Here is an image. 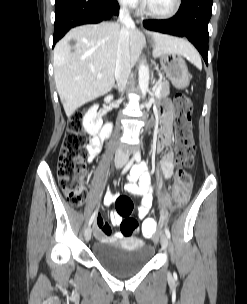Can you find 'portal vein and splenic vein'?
I'll return each instance as SVG.
<instances>
[{
    "instance_id": "18ae733b",
    "label": "portal vein and splenic vein",
    "mask_w": 247,
    "mask_h": 304,
    "mask_svg": "<svg viewBox=\"0 0 247 304\" xmlns=\"http://www.w3.org/2000/svg\"><path fill=\"white\" fill-rule=\"evenodd\" d=\"M160 88H161V86H159V87L155 90V95H158V94H159Z\"/></svg>"
}]
</instances>
